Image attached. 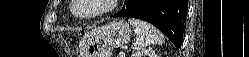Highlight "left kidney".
Wrapping results in <instances>:
<instances>
[{
  "instance_id": "left-kidney-1",
  "label": "left kidney",
  "mask_w": 249,
  "mask_h": 57,
  "mask_svg": "<svg viewBox=\"0 0 249 57\" xmlns=\"http://www.w3.org/2000/svg\"><path fill=\"white\" fill-rule=\"evenodd\" d=\"M131 57H158L152 48L137 51L131 55Z\"/></svg>"
}]
</instances>
